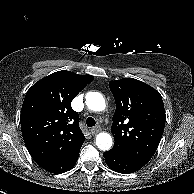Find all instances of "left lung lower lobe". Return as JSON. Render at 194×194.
<instances>
[{
  "instance_id": "0a47b994",
  "label": "left lung lower lobe",
  "mask_w": 194,
  "mask_h": 194,
  "mask_svg": "<svg viewBox=\"0 0 194 194\" xmlns=\"http://www.w3.org/2000/svg\"><path fill=\"white\" fill-rule=\"evenodd\" d=\"M104 158L110 169L122 174L134 173L145 165L112 150L104 152Z\"/></svg>"
}]
</instances>
